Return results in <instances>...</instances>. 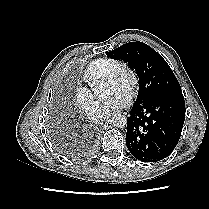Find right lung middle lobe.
<instances>
[{
    "instance_id": "dd1d6c3e",
    "label": "right lung middle lobe",
    "mask_w": 209,
    "mask_h": 209,
    "mask_svg": "<svg viewBox=\"0 0 209 209\" xmlns=\"http://www.w3.org/2000/svg\"><path fill=\"white\" fill-rule=\"evenodd\" d=\"M55 144L65 154L72 155V154H78L82 151L81 148L75 147L71 142H69L67 139H60L56 138Z\"/></svg>"
}]
</instances>
